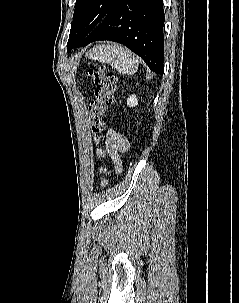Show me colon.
<instances>
[{
    "label": "colon",
    "mask_w": 239,
    "mask_h": 303,
    "mask_svg": "<svg viewBox=\"0 0 239 303\" xmlns=\"http://www.w3.org/2000/svg\"><path fill=\"white\" fill-rule=\"evenodd\" d=\"M88 74L94 79L95 83L94 98L89 105L90 130L95 143L98 144V136L104 130L102 117L114 102L117 76L105 66L91 68ZM97 155L99 157L103 155V151L99 147H97ZM100 172L104 174L105 169L101 168ZM101 184L105 185V181L102 180Z\"/></svg>",
    "instance_id": "colon-1"
}]
</instances>
